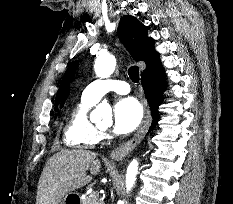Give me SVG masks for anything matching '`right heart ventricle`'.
Masks as SVG:
<instances>
[{
    "instance_id": "e07e8e85",
    "label": "right heart ventricle",
    "mask_w": 233,
    "mask_h": 204,
    "mask_svg": "<svg viewBox=\"0 0 233 204\" xmlns=\"http://www.w3.org/2000/svg\"><path fill=\"white\" fill-rule=\"evenodd\" d=\"M94 104L82 96L71 110L64 129L67 146L91 148L101 141V132L88 118V112Z\"/></svg>"
}]
</instances>
